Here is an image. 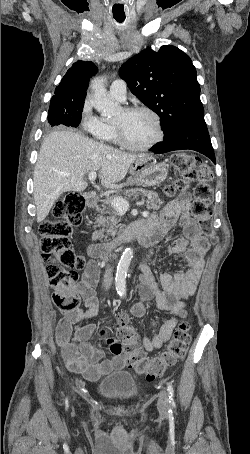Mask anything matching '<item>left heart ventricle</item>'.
<instances>
[{
  "instance_id": "left-heart-ventricle-1",
  "label": "left heart ventricle",
  "mask_w": 250,
  "mask_h": 454,
  "mask_svg": "<svg viewBox=\"0 0 250 454\" xmlns=\"http://www.w3.org/2000/svg\"><path fill=\"white\" fill-rule=\"evenodd\" d=\"M114 122L122 127L127 140L137 146L147 144L156 135L155 122L145 112L126 113L121 110Z\"/></svg>"
}]
</instances>
